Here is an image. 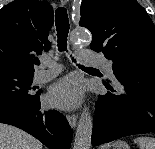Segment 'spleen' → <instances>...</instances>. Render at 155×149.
I'll use <instances>...</instances> for the list:
<instances>
[{
	"label": "spleen",
	"mask_w": 155,
	"mask_h": 149,
	"mask_svg": "<svg viewBox=\"0 0 155 149\" xmlns=\"http://www.w3.org/2000/svg\"><path fill=\"white\" fill-rule=\"evenodd\" d=\"M140 149H155V138L141 136L134 139Z\"/></svg>",
	"instance_id": "obj_1"
}]
</instances>
